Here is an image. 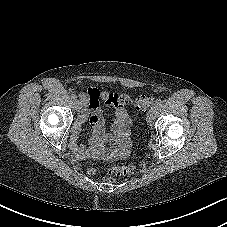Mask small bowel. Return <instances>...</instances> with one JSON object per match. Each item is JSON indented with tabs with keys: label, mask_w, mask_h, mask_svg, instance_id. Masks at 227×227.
Segmentation results:
<instances>
[{
	"label": "small bowel",
	"mask_w": 227,
	"mask_h": 227,
	"mask_svg": "<svg viewBox=\"0 0 227 227\" xmlns=\"http://www.w3.org/2000/svg\"><path fill=\"white\" fill-rule=\"evenodd\" d=\"M80 99L84 108L74 123L70 139V147L74 155L78 158L103 159L126 157L131 146V120L124 107L125 103L119 100V95L100 91L97 88H89L86 92L80 93ZM101 102L114 108V119L110 133L106 132ZM87 120L93 125L94 130L89 148L79 144L77 141L82 126ZM106 143H110L111 147H105Z\"/></svg>",
	"instance_id": "obj_1"
}]
</instances>
